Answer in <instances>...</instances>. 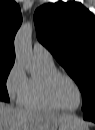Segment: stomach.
Wrapping results in <instances>:
<instances>
[{"label": "stomach", "mask_w": 95, "mask_h": 130, "mask_svg": "<svg viewBox=\"0 0 95 130\" xmlns=\"http://www.w3.org/2000/svg\"><path fill=\"white\" fill-rule=\"evenodd\" d=\"M84 126V123L76 118L60 124L57 130H88Z\"/></svg>", "instance_id": "obj_1"}]
</instances>
